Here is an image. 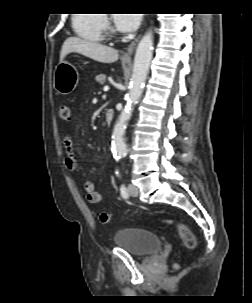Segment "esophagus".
<instances>
[{
	"instance_id": "obj_1",
	"label": "esophagus",
	"mask_w": 252,
	"mask_h": 303,
	"mask_svg": "<svg viewBox=\"0 0 252 303\" xmlns=\"http://www.w3.org/2000/svg\"><path fill=\"white\" fill-rule=\"evenodd\" d=\"M141 35H138L127 47L126 52L122 55V59L125 61H130L131 60V56L136 48V45L140 39Z\"/></svg>"
}]
</instances>
